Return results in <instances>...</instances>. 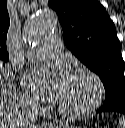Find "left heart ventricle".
I'll return each mask as SVG.
<instances>
[{
    "instance_id": "obj_1",
    "label": "left heart ventricle",
    "mask_w": 125,
    "mask_h": 128,
    "mask_svg": "<svg viewBox=\"0 0 125 128\" xmlns=\"http://www.w3.org/2000/svg\"><path fill=\"white\" fill-rule=\"evenodd\" d=\"M94 91V86L88 79L70 75L59 105L66 109H78L91 101Z\"/></svg>"
}]
</instances>
